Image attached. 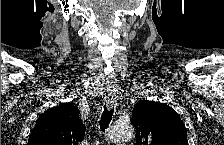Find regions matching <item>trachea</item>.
Listing matches in <instances>:
<instances>
[{
	"instance_id": "1",
	"label": "trachea",
	"mask_w": 224,
	"mask_h": 145,
	"mask_svg": "<svg viewBox=\"0 0 224 145\" xmlns=\"http://www.w3.org/2000/svg\"><path fill=\"white\" fill-rule=\"evenodd\" d=\"M113 111H114L113 108L107 109L106 106H104V111L102 113L101 120H100V128L102 130H105L107 126L109 125L113 116Z\"/></svg>"
}]
</instances>
